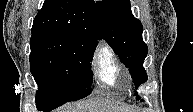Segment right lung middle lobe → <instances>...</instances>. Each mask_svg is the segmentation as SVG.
<instances>
[{
    "label": "right lung middle lobe",
    "mask_w": 193,
    "mask_h": 112,
    "mask_svg": "<svg viewBox=\"0 0 193 112\" xmlns=\"http://www.w3.org/2000/svg\"><path fill=\"white\" fill-rule=\"evenodd\" d=\"M97 43L90 38L62 34H32L31 73L39 86L36 107L50 111L91 93V61Z\"/></svg>",
    "instance_id": "obj_1"
}]
</instances>
